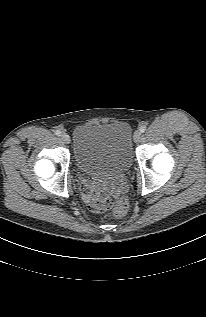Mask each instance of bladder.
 <instances>
[{"label":"bladder","instance_id":"obj_1","mask_svg":"<svg viewBox=\"0 0 206 317\" xmlns=\"http://www.w3.org/2000/svg\"><path fill=\"white\" fill-rule=\"evenodd\" d=\"M132 140L125 122L81 124L73 134L75 165L91 179L125 173L133 161Z\"/></svg>","mask_w":206,"mask_h":317}]
</instances>
